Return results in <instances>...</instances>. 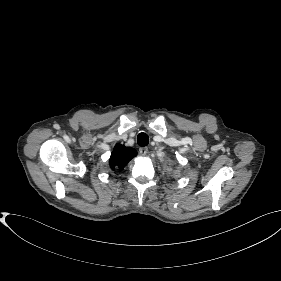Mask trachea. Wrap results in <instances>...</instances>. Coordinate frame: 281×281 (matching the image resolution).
<instances>
[{
	"label": "trachea",
	"instance_id": "1",
	"mask_svg": "<svg viewBox=\"0 0 281 281\" xmlns=\"http://www.w3.org/2000/svg\"><path fill=\"white\" fill-rule=\"evenodd\" d=\"M137 143L139 146H147L149 143V137L146 133L142 132L137 136Z\"/></svg>",
	"mask_w": 281,
	"mask_h": 281
}]
</instances>
